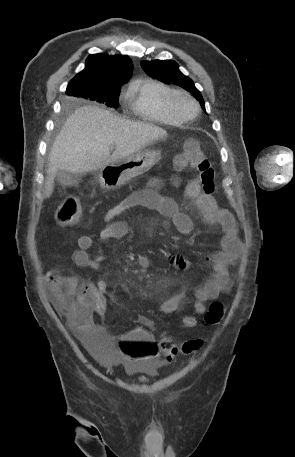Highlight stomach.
Listing matches in <instances>:
<instances>
[{"label": "stomach", "mask_w": 295, "mask_h": 457, "mask_svg": "<svg viewBox=\"0 0 295 457\" xmlns=\"http://www.w3.org/2000/svg\"><path fill=\"white\" fill-rule=\"evenodd\" d=\"M161 158V151L158 149H141L126 158L117 160L99 169V183L106 190L117 189L133 178L147 172Z\"/></svg>", "instance_id": "stomach-1"}]
</instances>
